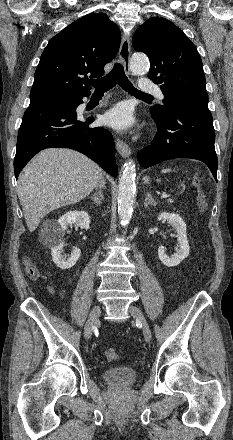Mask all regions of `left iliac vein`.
<instances>
[{"instance_id":"4c4485c4","label":"left iliac vein","mask_w":233,"mask_h":440,"mask_svg":"<svg viewBox=\"0 0 233 440\" xmlns=\"http://www.w3.org/2000/svg\"><path fill=\"white\" fill-rule=\"evenodd\" d=\"M129 313L138 323L142 325L145 340L149 342L151 340V330L141 310L134 305H130Z\"/></svg>"}]
</instances>
